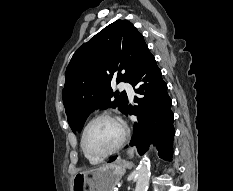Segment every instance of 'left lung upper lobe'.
<instances>
[{"mask_svg": "<svg viewBox=\"0 0 233 191\" xmlns=\"http://www.w3.org/2000/svg\"><path fill=\"white\" fill-rule=\"evenodd\" d=\"M149 54L142 34L127 20L111 23L78 48L66 69L62 92L73 132H80L97 108L118 107L126 113V93L113 92L111 84L129 82Z\"/></svg>", "mask_w": 233, "mask_h": 191, "instance_id": "5c2ea615", "label": "left lung upper lobe"}]
</instances>
